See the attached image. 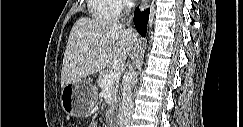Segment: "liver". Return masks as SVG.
<instances>
[{"label":"liver","mask_w":243,"mask_h":127,"mask_svg":"<svg viewBox=\"0 0 243 127\" xmlns=\"http://www.w3.org/2000/svg\"><path fill=\"white\" fill-rule=\"evenodd\" d=\"M138 44V34L114 21L78 19L70 32L64 53L61 87L105 68L124 63Z\"/></svg>","instance_id":"6515ba94"}]
</instances>
